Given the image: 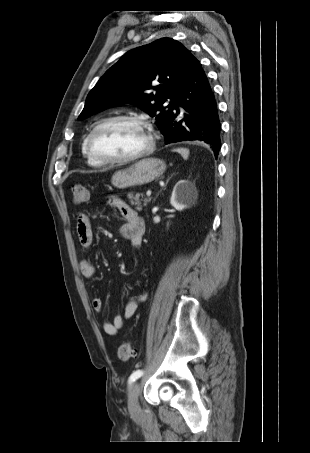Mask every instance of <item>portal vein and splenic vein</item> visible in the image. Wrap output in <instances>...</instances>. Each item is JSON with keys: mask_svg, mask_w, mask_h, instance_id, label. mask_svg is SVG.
<instances>
[{"mask_svg": "<svg viewBox=\"0 0 310 453\" xmlns=\"http://www.w3.org/2000/svg\"><path fill=\"white\" fill-rule=\"evenodd\" d=\"M146 195H147V197H150V196H151V191L148 190V191L146 192Z\"/></svg>", "mask_w": 310, "mask_h": 453, "instance_id": "1", "label": "portal vein and splenic vein"}]
</instances>
